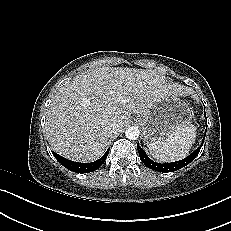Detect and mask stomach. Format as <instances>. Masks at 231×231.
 Segmentation results:
<instances>
[{
    "mask_svg": "<svg viewBox=\"0 0 231 231\" xmlns=\"http://www.w3.org/2000/svg\"><path fill=\"white\" fill-rule=\"evenodd\" d=\"M191 118L189 106L180 98L171 95L159 99L140 116L144 142L149 145L166 139L181 126L189 124Z\"/></svg>",
    "mask_w": 231,
    "mask_h": 231,
    "instance_id": "0dacf381",
    "label": "stomach"
}]
</instances>
